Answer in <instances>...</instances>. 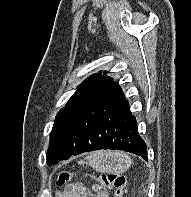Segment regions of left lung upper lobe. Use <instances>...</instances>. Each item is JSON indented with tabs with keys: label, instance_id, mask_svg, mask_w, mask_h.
<instances>
[{
	"label": "left lung upper lobe",
	"instance_id": "left-lung-upper-lobe-1",
	"mask_svg": "<svg viewBox=\"0 0 191 197\" xmlns=\"http://www.w3.org/2000/svg\"><path fill=\"white\" fill-rule=\"evenodd\" d=\"M101 73L102 71L85 79L69 99L65 108L58 112L50 133L49 148L47 150V163L49 166L58 163L64 158H68L73 151V147L67 141L65 128L73 119L79 105L89 98L105 94L118 85L113 79L104 77Z\"/></svg>",
	"mask_w": 191,
	"mask_h": 197
}]
</instances>
